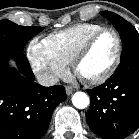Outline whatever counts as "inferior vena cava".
I'll return each instance as SVG.
<instances>
[{
    "label": "inferior vena cava",
    "mask_w": 139,
    "mask_h": 139,
    "mask_svg": "<svg viewBox=\"0 0 139 139\" xmlns=\"http://www.w3.org/2000/svg\"><path fill=\"white\" fill-rule=\"evenodd\" d=\"M37 80L40 85L46 86V87L53 86L59 81L57 76L53 74H48V73L38 74Z\"/></svg>",
    "instance_id": "inferior-vena-cava-1"
}]
</instances>
